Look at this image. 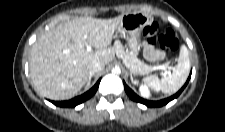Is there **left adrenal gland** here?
Returning <instances> with one entry per match:
<instances>
[{"instance_id":"1","label":"left adrenal gland","mask_w":225,"mask_h":132,"mask_svg":"<svg viewBox=\"0 0 225 132\" xmlns=\"http://www.w3.org/2000/svg\"><path fill=\"white\" fill-rule=\"evenodd\" d=\"M130 79H131V82H132L133 84H137V81H135V80L133 79L132 73L130 74Z\"/></svg>"}]
</instances>
